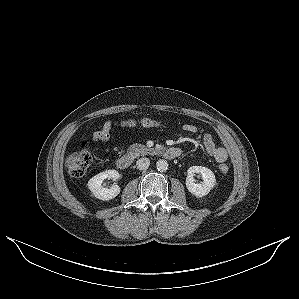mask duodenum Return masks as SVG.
<instances>
[{
	"label": "duodenum",
	"instance_id": "1",
	"mask_svg": "<svg viewBox=\"0 0 299 299\" xmlns=\"http://www.w3.org/2000/svg\"><path fill=\"white\" fill-rule=\"evenodd\" d=\"M163 155L168 159H175L181 155V150L176 147L166 148L162 151ZM133 158L129 154L122 155L116 160V165L119 169H127L131 166Z\"/></svg>",
	"mask_w": 299,
	"mask_h": 299
}]
</instances>
